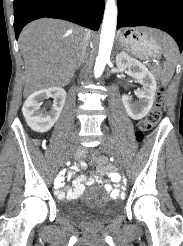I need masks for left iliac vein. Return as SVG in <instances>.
<instances>
[{
  "label": "left iliac vein",
  "mask_w": 183,
  "mask_h": 246,
  "mask_svg": "<svg viewBox=\"0 0 183 246\" xmlns=\"http://www.w3.org/2000/svg\"><path fill=\"white\" fill-rule=\"evenodd\" d=\"M101 148L114 158L116 165L122 169L123 163L122 159L116 150V148L111 144L107 137H102Z\"/></svg>",
  "instance_id": "obj_1"
}]
</instances>
